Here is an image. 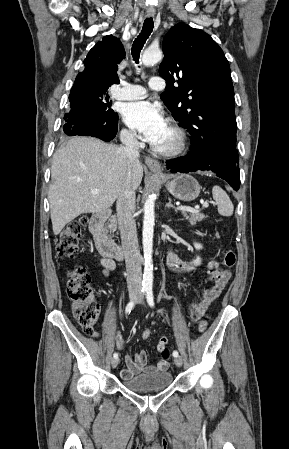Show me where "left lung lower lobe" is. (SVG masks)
<instances>
[{
	"label": "left lung lower lobe",
	"mask_w": 289,
	"mask_h": 449,
	"mask_svg": "<svg viewBox=\"0 0 289 449\" xmlns=\"http://www.w3.org/2000/svg\"><path fill=\"white\" fill-rule=\"evenodd\" d=\"M192 143V142H191ZM239 155L235 142L228 135L218 134L210 141L199 144L192 143L191 151L183 157L171 159L166 162L171 172L212 171L225 179L232 188L240 187V170L237 166Z\"/></svg>",
	"instance_id": "left-lung-lower-lobe-1"
}]
</instances>
